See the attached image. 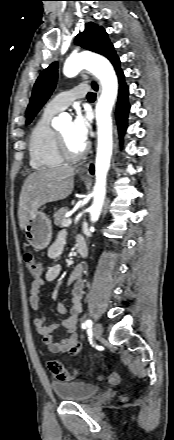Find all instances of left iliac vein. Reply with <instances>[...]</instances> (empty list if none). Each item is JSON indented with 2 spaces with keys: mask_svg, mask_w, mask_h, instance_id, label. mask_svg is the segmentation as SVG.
I'll return each instance as SVG.
<instances>
[{
  "mask_svg": "<svg viewBox=\"0 0 174 440\" xmlns=\"http://www.w3.org/2000/svg\"><path fill=\"white\" fill-rule=\"evenodd\" d=\"M93 334L94 336L99 339L103 334V328L100 323H96L93 327Z\"/></svg>",
  "mask_w": 174,
  "mask_h": 440,
  "instance_id": "left-iliac-vein-1",
  "label": "left iliac vein"
}]
</instances>
